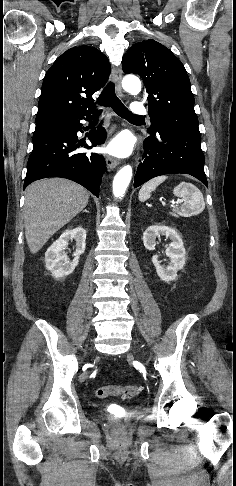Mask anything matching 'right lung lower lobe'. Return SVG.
Segmentation results:
<instances>
[{
    "instance_id": "right-lung-lower-lobe-1",
    "label": "right lung lower lobe",
    "mask_w": 236,
    "mask_h": 486,
    "mask_svg": "<svg viewBox=\"0 0 236 486\" xmlns=\"http://www.w3.org/2000/svg\"><path fill=\"white\" fill-rule=\"evenodd\" d=\"M99 111L73 113L36 124L33 134V150L27 163L24 189L32 182L47 177H62L73 180L99 197L101 178L106 171L102 155L78 153L84 144L77 143V132H82L80 120H91ZM92 146L103 144L106 131L98 126L89 133Z\"/></svg>"
}]
</instances>
